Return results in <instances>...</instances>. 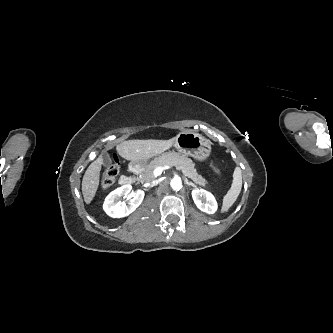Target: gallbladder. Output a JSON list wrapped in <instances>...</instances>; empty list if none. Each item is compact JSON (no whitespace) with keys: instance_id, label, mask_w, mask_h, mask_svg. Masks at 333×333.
<instances>
[{"instance_id":"bac80fb5","label":"gallbladder","mask_w":333,"mask_h":333,"mask_svg":"<svg viewBox=\"0 0 333 333\" xmlns=\"http://www.w3.org/2000/svg\"><path fill=\"white\" fill-rule=\"evenodd\" d=\"M102 160H103V166L105 167L113 166L112 157L108 153L105 152L102 154Z\"/></svg>"}]
</instances>
